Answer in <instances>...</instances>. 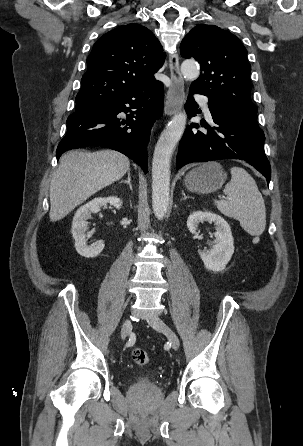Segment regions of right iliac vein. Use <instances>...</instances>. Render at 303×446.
<instances>
[{
    "mask_svg": "<svg viewBox=\"0 0 303 446\" xmlns=\"http://www.w3.org/2000/svg\"><path fill=\"white\" fill-rule=\"evenodd\" d=\"M130 329H131V321L129 319H126L122 325V328H121V338L122 339L126 338Z\"/></svg>",
    "mask_w": 303,
    "mask_h": 446,
    "instance_id": "obj_1",
    "label": "right iliac vein"
}]
</instances>
